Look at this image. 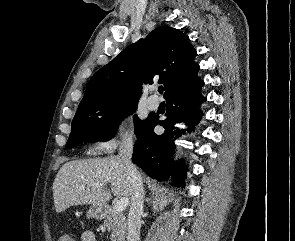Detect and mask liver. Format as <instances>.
<instances>
[{
  "mask_svg": "<svg viewBox=\"0 0 295 241\" xmlns=\"http://www.w3.org/2000/svg\"><path fill=\"white\" fill-rule=\"evenodd\" d=\"M108 183L115 196H131L132 183L118 156L66 162L53 182L56 212L61 213L73 205H105L111 198L110 191L104 188Z\"/></svg>",
  "mask_w": 295,
  "mask_h": 241,
  "instance_id": "obj_1",
  "label": "liver"
}]
</instances>
